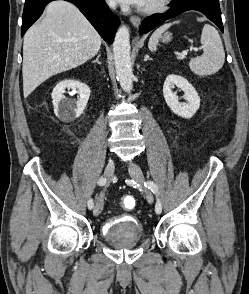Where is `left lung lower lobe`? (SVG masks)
Masks as SVG:
<instances>
[{
  "label": "left lung lower lobe",
  "instance_id": "1",
  "mask_svg": "<svg viewBox=\"0 0 249 294\" xmlns=\"http://www.w3.org/2000/svg\"><path fill=\"white\" fill-rule=\"evenodd\" d=\"M188 10H197L202 12L223 32L221 11L218 0H174L172 7L165 13L146 18L141 24L139 33H147L164 21Z\"/></svg>",
  "mask_w": 249,
  "mask_h": 294
}]
</instances>
